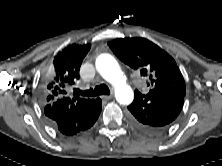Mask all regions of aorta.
<instances>
[{
  "mask_svg": "<svg viewBox=\"0 0 222 166\" xmlns=\"http://www.w3.org/2000/svg\"><path fill=\"white\" fill-rule=\"evenodd\" d=\"M96 68L100 75L115 89V97L118 103L128 105L133 101L134 93L126 83L118 62L109 54H101L96 59Z\"/></svg>",
  "mask_w": 222,
  "mask_h": 166,
  "instance_id": "762f6f07",
  "label": "aorta"
}]
</instances>
